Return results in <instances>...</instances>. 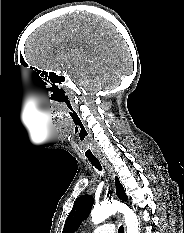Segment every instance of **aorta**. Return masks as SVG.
I'll return each instance as SVG.
<instances>
[{"mask_svg":"<svg viewBox=\"0 0 184 233\" xmlns=\"http://www.w3.org/2000/svg\"><path fill=\"white\" fill-rule=\"evenodd\" d=\"M117 211L124 215L127 233H140L136 214L127 205L118 201H104L94 206L91 211L92 222L100 224Z\"/></svg>","mask_w":184,"mask_h":233,"instance_id":"1","label":"aorta"}]
</instances>
